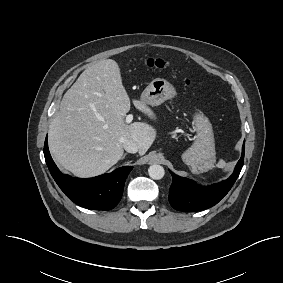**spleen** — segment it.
<instances>
[{
  "mask_svg": "<svg viewBox=\"0 0 283 283\" xmlns=\"http://www.w3.org/2000/svg\"><path fill=\"white\" fill-rule=\"evenodd\" d=\"M225 165H226V163H225L223 160H221V161L217 164V167L223 168V167H225ZM213 166H214V165H213V163H212L206 170L212 168ZM206 170H205V171H206Z\"/></svg>",
  "mask_w": 283,
  "mask_h": 283,
  "instance_id": "spleen-1",
  "label": "spleen"
}]
</instances>
